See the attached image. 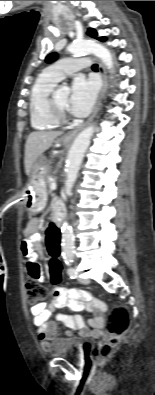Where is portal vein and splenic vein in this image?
<instances>
[{"label":"portal vein and splenic vein","instance_id":"18ae733b","mask_svg":"<svg viewBox=\"0 0 155 395\" xmlns=\"http://www.w3.org/2000/svg\"><path fill=\"white\" fill-rule=\"evenodd\" d=\"M50 188H51L52 190H55V189L57 188L56 183H55V182H52L51 185H50Z\"/></svg>","mask_w":155,"mask_h":395}]
</instances>
